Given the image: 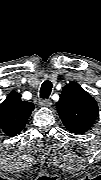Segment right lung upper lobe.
Listing matches in <instances>:
<instances>
[{"mask_svg": "<svg viewBox=\"0 0 101 180\" xmlns=\"http://www.w3.org/2000/svg\"><path fill=\"white\" fill-rule=\"evenodd\" d=\"M34 109L31 102L22 101L18 92L12 91L0 105V128L8 136L18 134Z\"/></svg>", "mask_w": 101, "mask_h": 180, "instance_id": "1", "label": "right lung upper lobe"}]
</instances>
